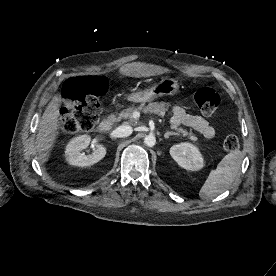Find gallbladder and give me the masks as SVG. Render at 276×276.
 <instances>
[{
	"label": "gallbladder",
	"mask_w": 276,
	"mask_h": 276,
	"mask_svg": "<svg viewBox=\"0 0 276 276\" xmlns=\"http://www.w3.org/2000/svg\"><path fill=\"white\" fill-rule=\"evenodd\" d=\"M67 104H68L69 106H72V102H71V101H67Z\"/></svg>",
	"instance_id": "obj_1"
}]
</instances>
